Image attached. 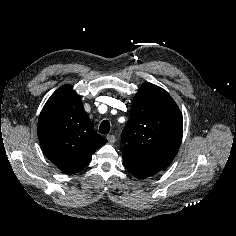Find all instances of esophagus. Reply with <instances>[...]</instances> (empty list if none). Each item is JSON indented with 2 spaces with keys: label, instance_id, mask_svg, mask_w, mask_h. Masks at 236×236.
Returning a JSON list of instances; mask_svg holds the SVG:
<instances>
[{
  "label": "esophagus",
  "instance_id": "esophagus-1",
  "mask_svg": "<svg viewBox=\"0 0 236 236\" xmlns=\"http://www.w3.org/2000/svg\"><path fill=\"white\" fill-rule=\"evenodd\" d=\"M107 140L110 144H113L115 142L116 138L114 135H108Z\"/></svg>",
  "mask_w": 236,
  "mask_h": 236
}]
</instances>
